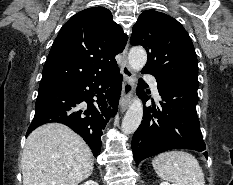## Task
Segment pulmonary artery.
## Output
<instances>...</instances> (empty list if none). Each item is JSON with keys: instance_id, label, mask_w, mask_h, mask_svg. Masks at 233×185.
<instances>
[{"instance_id": "e3ab8cb5", "label": "pulmonary artery", "mask_w": 233, "mask_h": 185, "mask_svg": "<svg viewBox=\"0 0 233 185\" xmlns=\"http://www.w3.org/2000/svg\"><path fill=\"white\" fill-rule=\"evenodd\" d=\"M145 80L149 83V85L152 88L153 94L155 95V97L157 99H159V92H158V88H157V81L153 76H145Z\"/></svg>"}]
</instances>
